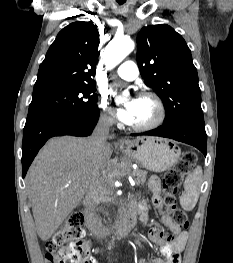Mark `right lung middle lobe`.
<instances>
[{
	"label": "right lung middle lobe",
	"instance_id": "dd1d6c3e",
	"mask_svg": "<svg viewBox=\"0 0 233 263\" xmlns=\"http://www.w3.org/2000/svg\"><path fill=\"white\" fill-rule=\"evenodd\" d=\"M95 84H83L33 95L26 125L59 116L82 114L97 107Z\"/></svg>",
	"mask_w": 233,
	"mask_h": 263
}]
</instances>
